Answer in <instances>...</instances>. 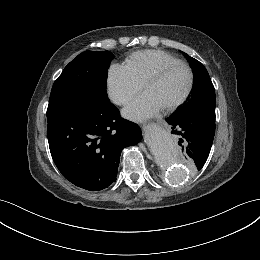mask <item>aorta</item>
I'll use <instances>...</instances> for the list:
<instances>
[{"mask_svg":"<svg viewBox=\"0 0 260 260\" xmlns=\"http://www.w3.org/2000/svg\"><path fill=\"white\" fill-rule=\"evenodd\" d=\"M144 141L158 165L164 169L169 182L180 183L189 177L187 162L168 133L148 128L144 133Z\"/></svg>","mask_w":260,"mask_h":260,"instance_id":"aorta-1","label":"aorta"}]
</instances>
